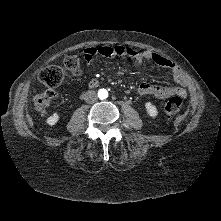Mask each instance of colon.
Wrapping results in <instances>:
<instances>
[{
    "label": "colon",
    "mask_w": 221,
    "mask_h": 221,
    "mask_svg": "<svg viewBox=\"0 0 221 221\" xmlns=\"http://www.w3.org/2000/svg\"><path fill=\"white\" fill-rule=\"evenodd\" d=\"M81 74V62L77 56L65 58L63 66L50 65L39 73V81L48 88L59 86L67 75L78 76ZM55 98V93L49 89L37 92L33 95V105L36 111L45 112ZM182 108V99L179 96L172 97L165 105L168 115H175Z\"/></svg>",
    "instance_id": "1"
}]
</instances>
